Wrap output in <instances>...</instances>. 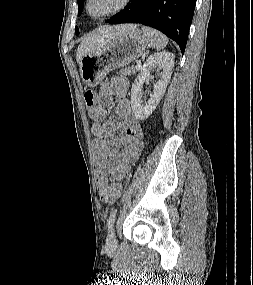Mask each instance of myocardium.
<instances>
[{"label":"myocardium","mask_w":253,"mask_h":285,"mask_svg":"<svg viewBox=\"0 0 253 285\" xmlns=\"http://www.w3.org/2000/svg\"><path fill=\"white\" fill-rule=\"evenodd\" d=\"M91 1L92 0H85V4H84L85 12L89 18H91L93 20H100V19H104L106 17H110V16H113V15H116V14L122 12L131 4L132 0H122L120 5L118 7H116L115 9L110 10V11L105 12V13H102V14H99V15H93L90 13L89 5H90Z\"/></svg>","instance_id":"1"}]
</instances>
